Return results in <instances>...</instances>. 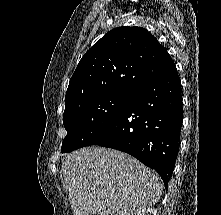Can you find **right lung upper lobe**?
<instances>
[{
	"label": "right lung upper lobe",
	"instance_id": "obj_1",
	"mask_svg": "<svg viewBox=\"0 0 221 215\" xmlns=\"http://www.w3.org/2000/svg\"><path fill=\"white\" fill-rule=\"evenodd\" d=\"M173 64L167 50L146 29L115 28L80 60L69 82L65 107L100 95H131Z\"/></svg>",
	"mask_w": 221,
	"mask_h": 215
}]
</instances>
